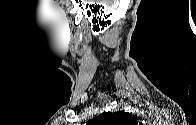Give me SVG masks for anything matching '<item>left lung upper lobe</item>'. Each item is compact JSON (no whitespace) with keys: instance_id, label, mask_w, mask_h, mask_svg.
<instances>
[{"instance_id":"left-lung-upper-lobe-1","label":"left lung upper lobe","mask_w":196,"mask_h":125,"mask_svg":"<svg viewBox=\"0 0 196 125\" xmlns=\"http://www.w3.org/2000/svg\"><path fill=\"white\" fill-rule=\"evenodd\" d=\"M94 125H136V120L126 112L103 113L91 121Z\"/></svg>"}]
</instances>
